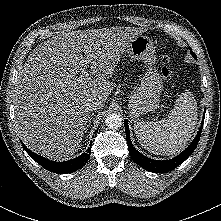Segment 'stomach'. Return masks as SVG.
Segmentation results:
<instances>
[{
    "instance_id": "obj_1",
    "label": "stomach",
    "mask_w": 221,
    "mask_h": 221,
    "mask_svg": "<svg viewBox=\"0 0 221 221\" xmlns=\"http://www.w3.org/2000/svg\"><path fill=\"white\" fill-rule=\"evenodd\" d=\"M126 52L134 60L143 61L146 67L140 84L129 96V112L137 117L159 106L163 81L156 69L155 44L151 38L145 35L136 36L127 46Z\"/></svg>"
}]
</instances>
